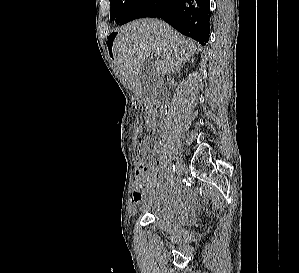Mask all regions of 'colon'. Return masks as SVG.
Wrapping results in <instances>:
<instances>
[{"label": "colon", "instance_id": "colon-1", "mask_svg": "<svg viewBox=\"0 0 299 273\" xmlns=\"http://www.w3.org/2000/svg\"><path fill=\"white\" fill-rule=\"evenodd\" d=\"M140 147L143 150H148L151 148V140L148 136H144L140 138Z\"/></svg>", "mask_w": 299, "mask_h": 273}]
</instances>
